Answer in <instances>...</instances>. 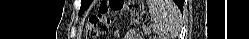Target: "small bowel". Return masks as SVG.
<instances>
[{"label":"small bowel","instance_id":"1","mask_svg":"<svg viewBox=\"0 0 249 39\" xmlns=\"http://www.w3.org/2000/svg\"><path fill=\"white\" fill-rule=\"evenodd\" d=\"M132 38H135L136 37V34L135 33H131L130 34Z\"/></svg>","mask_w":249,"mask_h":39}]
</instances>
